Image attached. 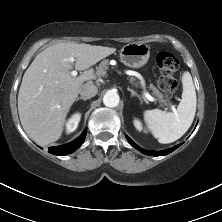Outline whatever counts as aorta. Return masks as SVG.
Instances as JSON below:
<instances>
[{"label":"aorta","mask_w":222,"mask_h":222,"mask_svg":"<svg viewBox=\"0 0 222 222\" xmlns=\"http://www.w3.org/2000/svg\"><path fill=\"white\" fill-rule=\"evenodd\" d=\"M119 95L116 91L109 90L103 97V103L106 107L113 108L119 104Z\"/></svg>","instance_id":"aorta-1"}]
</instances>
